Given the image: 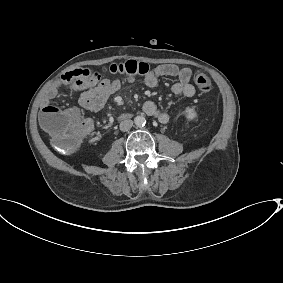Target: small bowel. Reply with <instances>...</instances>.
Segmentation results:
<instances>
[{
  "label": "small bowel",
  "mask_w": 283,
  "mask_h": 283,
  "mask_svg": "<svg viewBox=\"0 0 283 283\" xmlns=\"http://www.w3.org/2000/svg\"><path fill=\"white\" fill-rule=\"evenodd\" d=\"M191 75L192 72L188 68H179L174 64H162L145 75L144 83L147 87L154 88L160 77H175L177 81L171 87L172 93L193 97L196 90L190 83ZM134 81V77H126L122 83L117 79L102 78L88 69H74L62 75L59 81L47 89L41 102L42 111L54 107L51 105L52 100L57 97L59 88L66 86L72 91L80 92L78 103L82 108L90 112H98L123 85H131ZM142 109L146 115L154 117L161 124L169 121L168 113L161 110L153 101H146Z\"/></svg>",
  "instance_id": "c3829d8e"
}]
</instances>
